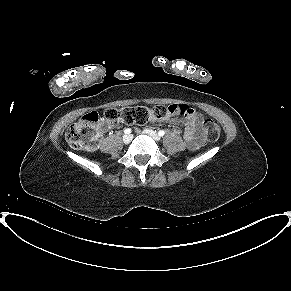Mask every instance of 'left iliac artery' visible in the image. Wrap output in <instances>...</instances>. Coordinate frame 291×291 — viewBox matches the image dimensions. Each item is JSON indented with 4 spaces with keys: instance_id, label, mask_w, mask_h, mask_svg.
<instances>
[{
    "instance_id": "obj_1",
    "label": "left iliac artery",
    "mask_w": 291,
    "mask_h": 291,
    "mask_svg": "<svg viewBox=\"0 0 291 291\" xmlns=\"http://www.w3.org/2000/svg\"><path fill=\"white\" fill-rule=\"evenodd\" d=\"M158 135H159V136H164V135H165V132H164L163 130H160V131L158 132Z\"/></svg>"
}]
</instances>
